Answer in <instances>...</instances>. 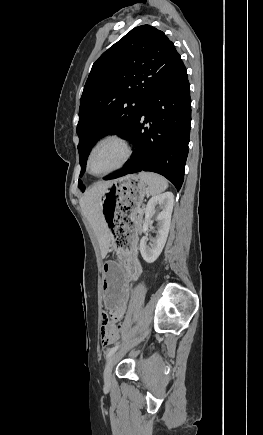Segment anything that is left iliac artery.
Instances as JSON below:
<instances>
[{
  "label": "left iliac artery",
  "mask_w": 263,
  "mask_h": 435,
  "mask_svg": "<svg viewBox=\"0 0 263 435\" xmlns=\"http://www.w3.org/2000/svg\"><path fill=\"white\" fill-rule=\"evenodd\" d=\"M119 347H120V345H116V346L112 347L107 354V358H109L113 353H115L119 349Z\"/></svg>",
  "instance_id": "obj_1"
}]
</instances>
